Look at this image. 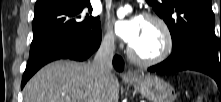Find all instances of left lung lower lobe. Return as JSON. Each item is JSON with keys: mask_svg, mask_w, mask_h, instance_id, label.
Instances as JSON below:
<instances>
[{"mask_svg": "<svg viewBox=\"0 0 221 102\" xmlns=\"http://www.w3.org/2000/svg\"><path fill=\"white\" fill-rule=\"evenodd\" d=\"M148 70L158 73L200 71L214 78L221 89V58L219 62L216 52L198 42H187L173 49L167 60Z\"/></svg>", "mask_w": 221, "mask_h": 102, "instance_id": "obj_1", "label": "left lung lower lobe"}]
</instances>
